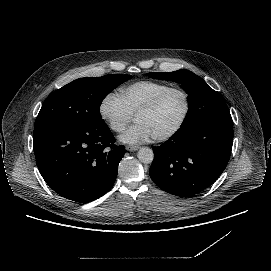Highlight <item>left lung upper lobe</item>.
Listing matches in <instances>:
<instances>
[{
	"mask_svg": "<svg viewBox=\"0 0 271 271\" xmlns=\"http://www.w3.org/2000/svg\"><path fill=\"white\" fill-rule=\"evenodd\" d=\"M147 75L155 79L177 82L188 94L189 112L179 130L190 129L193 125L204 121H232L222 95L191 71L181 69L170 73H148Z\"/></svg>",
	"mask_w": 271,
	"mask_h": 271,
	"instance_id": "5c2ea615",
	"label": "left lung upper lobe"
}]
</instances>
